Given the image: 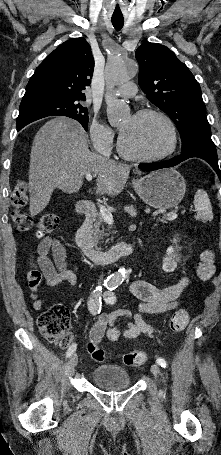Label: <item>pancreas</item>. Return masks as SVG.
I'll use <instances>...</instances> for the list:
<instances>
[{"mask_svg": "<svg viewBox=\"0 0 221 455\" xmlns=\"http://www.w3.org/2000/svg\"><path fill=\"white\" fill-rule=\"evenodd\" d=\"M104 222L105 221L103 220L102 216L100 214H97L96 222L94 223L91 230L92 239L95 244H101L103 242L104 236L109 234L105 232Z\"/></svg>", "mask_w": 221, "mask_h": 455, "instance_id": "pancreas-1", "label": "pancreas"}]
</instances>
